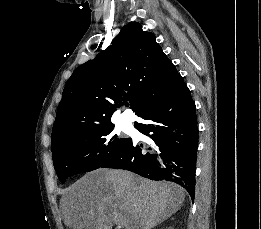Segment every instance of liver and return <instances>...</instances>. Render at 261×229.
<instances>
[{
    "instance_id": "obj_1",
    "label": "liver",
    "mask_w": 261,
    "mask_h": 229,
    "mask_svg": "<svg viewBox=\"0 0 261 229\" xmlns=\"http://www.w3.org/2000/svg\"><path fill=\"white\" fill-rule=\"evenodd\" d=\"M183 187L156 183L130 171L97 169L86 173L62 197L65 223L72 229H154L185 201Z\"/></svg>"
}]
</instances>
